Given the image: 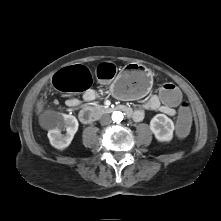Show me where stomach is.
Segmentation results:
<instances>
[{"label":"stomach","instance_id":"0dacf381","mask_svg":"<svg viewBox=\"0 0 221 221\" xmlns=\"http://www.w3.org/2000/svg\"><path fill=\"white\" fill-rule=\"evenodd\" d=\"M152 81V73L147 68L137 63H129L115 77L111 90L119 98L138 99L148 92Z\"/></svg>","mask_w":221,"mask_h":221}]
</instances>
